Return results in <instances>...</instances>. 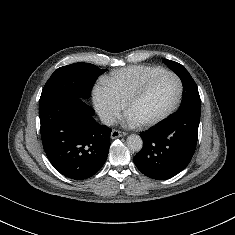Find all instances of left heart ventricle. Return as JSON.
<instances>
[{"instance_id":"obj_1","label":"left heart ventricle","mask_w":235,"mask_h":235,"mask_svg":"<svg viewBox=\"0 0 235 235\" xmlns=\"http://www.w3.org/2000/svg\"><path fill=\"white\" fill-rule=\"evenodd\" d=\"M178 92L177 81L170 76L157 79L147 93L136 102L129 116L136 122L152 120L173 104Z\"/></svg>"}]
</instances>
